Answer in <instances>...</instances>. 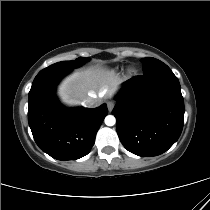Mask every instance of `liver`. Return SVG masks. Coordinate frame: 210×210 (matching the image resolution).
<instances>
[{"instance_id": "obj_1", "label": "liver", "mask_w": 210, "mask_h": 210, "mask_svg": "<svg viewBox=\"0 0 210 210\" xmlns=\"http://www.w3.org/2000/svg\"><path fill=\"white\" fill-rule=\"evenodd\" d=\"M121 79L112 72L90 67L67 76L58 86V96L67 105H76L87 97H96L97 105L112 97Z\"/></svg>"}]
</instances>
